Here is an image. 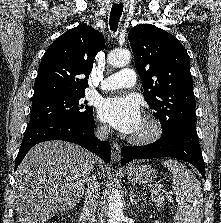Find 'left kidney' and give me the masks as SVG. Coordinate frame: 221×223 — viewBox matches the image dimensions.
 <instances>
[{
    "label": "left kidney",
    "instance_id": "5707ae66",
    "mask_svg": "<svg viewBox=\"0 0 221 223\" xmlns=\"http://www.w3.org/2000/svg\"><path fill=\"white\" fill-rule=\"evenodd\" d=\"M154 223H162V222H159V221L156 220Z\"/></svg>",
    "mask_w": 221,
    "mask_h": 223
}]
</instances>
